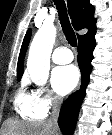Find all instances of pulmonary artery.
<instances>
[{"instance_id":"pulmonary-artery-1","label":"pulmonary artery","mask_w":112,"mask_h":135,"mask_svg":"<svg viewBox=\"0 0 112 135\" xmlns=\"http://www.w3.org/2000/svg\"><path fill=\"white\" fill-rule=\"evenodd\" d=\"M51 58L56 64H66L73 60V54L66 47H58L54 50Z\"/></svg>"}]
</instances>
